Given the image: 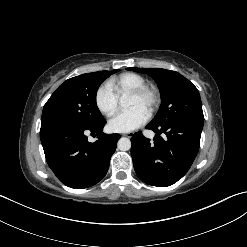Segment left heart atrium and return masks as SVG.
<instances>
[{"instance_id": "1", "label": "left heart atrium", "mask_w": 247, "mask_h": 247, "mask_svg": "<svg viewBox=\"0 0 247 247\" xmlns=\"http://www.w3.org/2000/svg\"><path fill=\"white\" fill-rule=\"evenodd\" d=\"M148 119V113L141 107H132L119 112L110 119L108 126L113 132L126 133L143 125Z\"/></svg>"}]
</instances>
